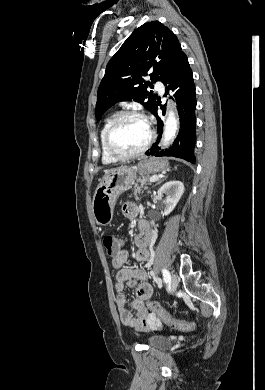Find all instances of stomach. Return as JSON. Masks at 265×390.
Instances as JSON below:
<instances>
[{
    "label": "stomach",
    "instance_id": "1",
    "mask_svg": "<svg viewBox=\"0 0 265 390\" xmlns=\"http://www.w3.org/2000/svg\"><path fill=\"white\" fill-rule=\"evenodd\" d=\"M169 163L162 158H143L136 166L120 167L109 172L98 185L92 203L96 223L106 226L111 223L118 197L135 182L137 174L147 175L166 171Z\"/></svg>",
    "mask_w": 265,
    "mask_h": 390
}]
</instances>
